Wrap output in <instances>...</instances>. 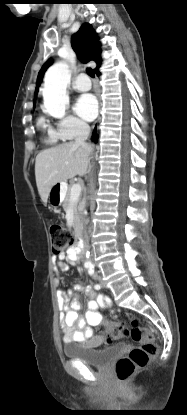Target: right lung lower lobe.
<instances>
[{
  "mask_svg": "<svg viewBox=\"0 0 187 415\" xmlns=\"http://www.w3.org/2000/svg\"><path fill=\"white\" fill-rule=\"evenodd\" d=\"M95 73H96V75H97V76H100V74H101V73L99 72V69H98L97 71H95Z\"/></svg>",
  "mask_w": 187,
  "mask_h": 415,
  "instance_id": "obj_1",
  "label": "right lung lower lobe"
}]
</instances>
